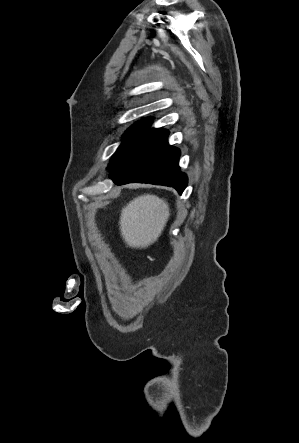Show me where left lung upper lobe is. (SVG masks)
I'll list each match as a JSON object with an SVG mask.
<instances>
[{
	"label": "left lung upper lobe",
	"instance_id": "5c2ea615",
	"mask_svg": "<svg viewBox=\"0 0 299 443\" xmlns=\"http://www.w3.org/2000/svg\"><path fill=\"white\" fill-rule=\"evenodd\" d=\"M150 123V119H144L140 122L135 123L126 131V133L123 135V141L121 145L118 147L117 151L111 158L108 169H111L115 165V163L124 155V153L149 130Z\"/></svg>",
	"mask_w": 299,
	"mask_h": 443
}]
</instances>
